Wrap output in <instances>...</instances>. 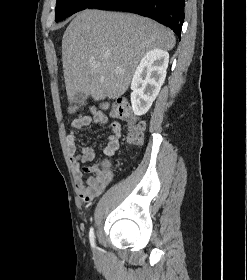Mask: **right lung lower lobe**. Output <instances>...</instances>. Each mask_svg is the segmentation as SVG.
Listing matches in <instances>:
<instances>
[{
  "label": "right lung lower lobe",
  "mask_w": 247,
  "mask_h": 280,
  "mask_svg": "<svg viewBox=\"0 0 247 280\" xmlns=\"http://www.w3.org/2000/svg\"><path fill=\"white\" fill-rule=\"evenodd\" d=\"M185 0H98L89 8L118 10L150 17L170 27L180 37Z\"/></svg>",
  "instance_id": "98d812e1"
}]
</instances>
